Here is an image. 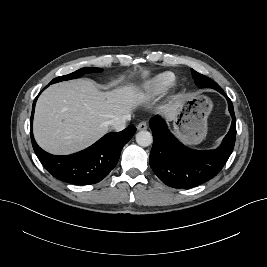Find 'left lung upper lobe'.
<instances>
[{"label":"left lung upper lobe","instance_id":"1","mask_svg":"<svg viewBox=\"0 0 267 267\" xmlns=\"http://www.w3.org/2000/svg\"><path fill=\"white\" fill-rule=\"evenodd\" d=\"M192 72V77L194 78V81L197 86L199 87H210V88H215L219 87V85L211 80L210 78L196 72L195 70L191 69Z\"/></svg>","mask_w":267,"mask_h":267}]
</instances>
